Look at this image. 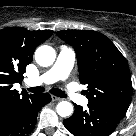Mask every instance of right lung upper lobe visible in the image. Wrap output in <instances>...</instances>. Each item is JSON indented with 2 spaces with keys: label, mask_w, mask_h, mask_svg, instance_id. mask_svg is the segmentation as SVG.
I'll use <instances>...</instances> for the list:
<instances>
[{
  "label": "right lung upper lobe",
  "mask_w": 136,
  "mask_h": 136,
  "mask_svg": "<svg viewBox=\"0 0 136 136\" xmlns=\"http://www.w3.org/2000/svg\"><path fill=\"white\" fill-rule=\"evenodd\" d=\"M53 34L51 30L29 31L25 28L0 30V118L17 110L30 96L13 89L21 83L35 48Z\"/></svg>",
  "instance_id": "obj_1"
}]
</instances>
